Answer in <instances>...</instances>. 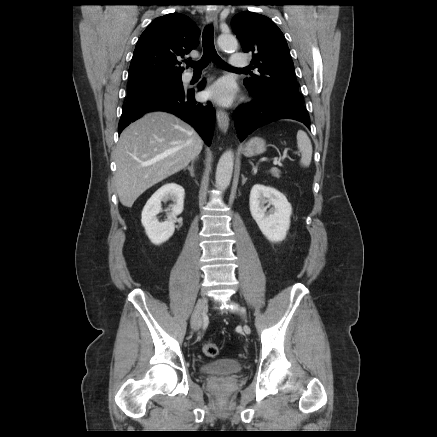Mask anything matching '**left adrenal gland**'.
<instances>
[{"instance_id":"obj_1","label":"left adrenal gland","mask_w":437,"mask_h":437,"mask_svg":"<svg viewBox=\"0 0 437 437\" xmlns=\"http://www.w3.org/2000/svg\"><path fill=\"white\" fill-rule=\"evenodd\" d=\"M246 180H247V178H245V176H244V175H242V185H244V184H245Z\"/></svg>"}]
</instances>
